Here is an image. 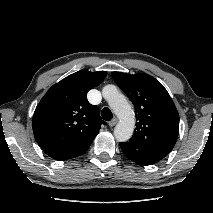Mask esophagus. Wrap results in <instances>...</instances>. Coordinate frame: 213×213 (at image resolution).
I'll return each instance as SVG.
<instances>
[{
    "label": "esophagus",
    "instance_id": "34e87169",
    "mask_svg": "<svg viewBox=\"0 0 213 213\" xmlns=\"http://www.w3.org/2000/svg\"><path fill=\"white\" fill-rule=\"evenodd\" d=\"M118 122V119L117 118H113L110 122H109V126L110 127H113L117 124Z\"/></svg>",
    "mask_w": 213,
    "mask_h": 213
}]
</instances>
